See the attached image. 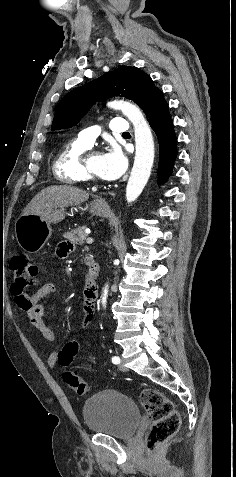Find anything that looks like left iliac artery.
Returning a JSON list of instances; mask_svg holds the SVG:
<instances>
[{"instance_id": "left-iliac-artery-1", "label": "left iliac artery", "mask_w": 236, "mask_h": 477, "mask_svg": "<svg viewBox=\"0 0 236 477\" xmlns=\"http://www.w3.org/2000/svg\"><path fill=\"white\" fill-rule=\"evenodd\" d=\"M112 362L114 364H119L120 363V358L118 356H114V357H112Z\"/></svg>"}]
</instances>
